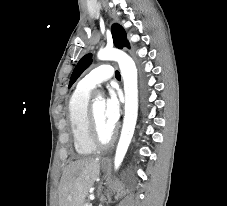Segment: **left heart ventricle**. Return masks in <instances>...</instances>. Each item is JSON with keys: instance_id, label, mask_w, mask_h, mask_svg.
I'll return each mask as SVG.
<instances>
[{"instance_id": "b2bd125f", "label": "left heart ventricle", "mask_w": 227, "mask_h": 206, "mask_svg": "<svg viewBox=\"0 0 227 206\" xmlns=\"http://www.w3.org/2000/svg\"><path fill=\"white\" fill-rule=\"evenodd\" d=\"M94 113L96 117L97 127L102 139L106 140L112 133V129L106 123L104 117V101L98 100L93 104Z\"/></svg>"}]
</instances>
